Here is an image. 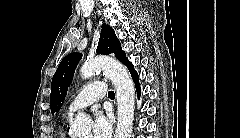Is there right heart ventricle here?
<instances>
[{
	"mask_svg": "<svg viewBox=\"0 0 240 138\" xmlns=\"http://www.w3.org/2000/svg\"><path fill=\"white\" fill-rule=\"evenodd\" d=\"M58 138H74L66 132L65 126H62L58 132Z\"/></svg>",
	"mask_w": 240,
	"mask_h": 138,
	"instance_id": "e07e8e85",
	"label": "right heart ventricle"
}]
</instances>
